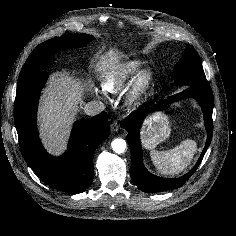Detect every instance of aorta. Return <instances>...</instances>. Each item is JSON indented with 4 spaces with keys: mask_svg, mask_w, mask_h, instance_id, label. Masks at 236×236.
Instances as JSON below:
<instances>
[{
    "mask_svg": "<svg viewBox=\"0 0 236 236\" xmlns=\"http://www.w3.org/2000/svg\"><path fill=\"white\" fill-rule=\"evenodd\" d=\"M126 147V141L122 138H116L112 141V149L117 154L124 153Z\"/></svg>",
    "mask_w": 236,
    "mask_h": 236,
    "instance_id": "obj_1",
    "label": "aorta"
}]
</instances>
